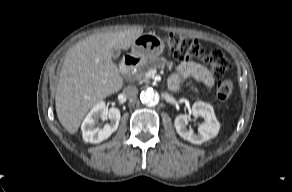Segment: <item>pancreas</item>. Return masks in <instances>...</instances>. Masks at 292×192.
I'll list each match as a JSON object with an SVG mask.
<instances>
[{"label":"pancreas","instance_id":"obj_1","mask_svg":"<svg viewBox=\"0 0 292 192\" xmlns=\"http://www.w3.org/2000/svg\"><path fill=\"white\" fill-rule=\"evenodd\" d=\"M168 65L169 69L172 68V63L168 62L165 58H155L148 61L141 62L136 71L133 74V79L139 82H149V77H146V73L155 68H164Z\"/></svg>","mask_w":292,"mask_h":192}]
</instances>
